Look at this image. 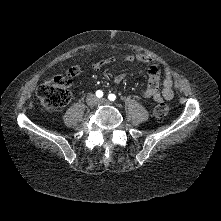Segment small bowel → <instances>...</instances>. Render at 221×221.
Here are the masks:
<instances>
[{
	"instance_id": "1",
	"label": "small bowel",
	"mask_w": 221,
	"mask_h": 221,
	"mask_svg": "<svg viewBox=\"0 0 221 221\" xmlns=\"http://www.w3.org/2000/svg\"><path fill=\"white\" fill-rule=\"evenodd\" d=\"M116 56L103 57L92 62L94 69H99L103 65L115 62ZM126 62H141L149 66V83L142 91V96L146 99H151L155 102L171 100L173 98V78L169 72L162 74L161 68L155 64L151 57L145 54H129L123 57ZM126 78V74L122 73L114 78L115 84H120ZM160 84L162 87L160 88Z\"/></svg>"
}]
</instances>
